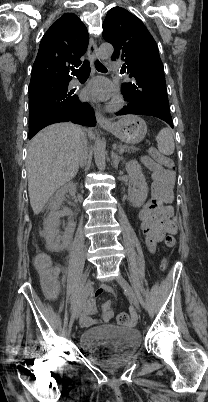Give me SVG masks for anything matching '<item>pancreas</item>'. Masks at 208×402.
I'll list each match as a JSON object with an SVG mask.
<instances>
[{
  "label": "pancreas",
  "mask_w": 208,
  "mask_h": 402,
  "mask_svg": "<svg viewBox=\"0 0 208 402\" xmlns=\"http://www.w3.org/2000/svg\"><path fill=\"white\" fill-rule=\"evenodd\" d=\"M124 150L126 152H130V150H133V152H137L138 148H134V146H123Z\"/></svg>",
  "instance_id": "cf45deb5"
}]
</instances>
